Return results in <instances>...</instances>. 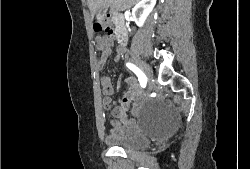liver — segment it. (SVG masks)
Wrapping results in <instances>:
<instances>
[{"mask_svg":"<svg viewBox=\"0 0 250 169\" xmlns=\"http://www.w3.org/2000/svg\"><path fill=\"white\" fill-rule=\"evenodd\" d=\"M138 0H88L89 10L94 16L99 10H107V8H115V10H125L131 8Z\"/></svg>","mask_w":250,"mask_h":169,"instance_id":"liver-1","label":"liver"}]
</instances>
